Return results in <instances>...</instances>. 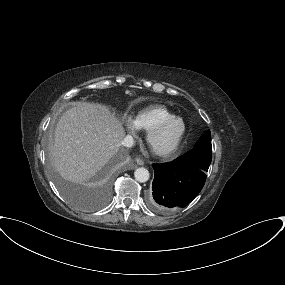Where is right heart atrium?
<instances>
[{
	"label": "right heart atrium",
	"instance_id": "right-heart-atrium-1",
	"mask_svg": "<svg viewBox=\"0 0 285 285\" xmlns=\"http://www.w3.org/2000/svg\"><path fill=\"white\" fill-rule=\"evenodd\" d=\"M125 128L132 135H135L137 132V127L135 126L134 121L131 119H126Z\"/></svg>",
	"mask_w": 285,
	"mask_h": 285
}]
</instances>
